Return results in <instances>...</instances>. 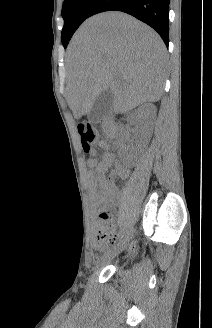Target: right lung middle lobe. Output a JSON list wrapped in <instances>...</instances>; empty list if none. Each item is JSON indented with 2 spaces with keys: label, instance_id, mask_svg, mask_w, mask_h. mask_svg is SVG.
<instances>
[{
  "label": "right lung middle lobe",
  "instance_id": "obj_1",
  "mask_svg": "<svg viewBox=\"0 0 212 328\" xmlns=\"http://www.w3.org/2000/svg\"><path fill=\"white\" fill-rule=\"evenodd\" d=\"M97 0H65L62 7L64 27L62 29V43L68 45L72 35L80 24L88 18V14Z\"/></svg>",
  "mask_w": 212,
  "mask_h": 328
}]
</instances>
